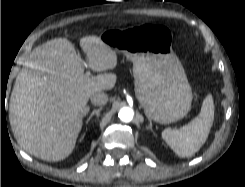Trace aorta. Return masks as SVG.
Masks as SVG:
<instances>
[{"instance_id": "obj_1", "label": "aorta", "mask_w": 245, "mask_h": 187, "mask_svg": "<svg viewBox=\"0 0 245 187\" xmlns=\"http://www.w3.org/2000/svg\"><path fill=\"white\" fill-rule=\"evenodd\" d=\"M134 117V111L131 108L124 107L119 111V118L123 122H131Z\"/></svg>"}]
</instances>
